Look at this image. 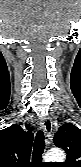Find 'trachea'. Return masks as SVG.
<instances>
[{"label": "trachea", "mask_w": 81, "mask_h": 167, "mask_svg": "<svg viewBox=\"0 0 81 167\" xmlns=\"http://www.w3.org/2000/svg\"><path fill=\"white\" fill-rule=\"evenodd\" d=\"M44 148H45L44 132L42 130H39L36 134L33 146V153H32L33 162H41Z\"/></svg>", "instance_id": "trachea-1"}]
</instances>
